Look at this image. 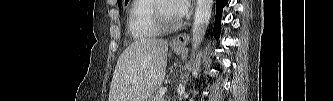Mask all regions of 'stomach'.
Here are the masks:
<instances>
[{
  "mask_svg": "<svg viewBox=\"0 0 333 101\" xmlns=\"http://www.w3.org/2000/svg\"><path fill=\"white\" fill-rule=\"evenodd\" d=\"M173 49H174L176 54H180V53L183 52L184 47H175V46H173ZM147 101H152V100L148 99Z\"/></svg>",
  "mask_w": 333,
  "mask_h": 101,
  "instance_id": "1",
  "label": "stomach"
}]
</instances>
